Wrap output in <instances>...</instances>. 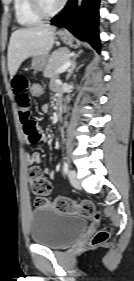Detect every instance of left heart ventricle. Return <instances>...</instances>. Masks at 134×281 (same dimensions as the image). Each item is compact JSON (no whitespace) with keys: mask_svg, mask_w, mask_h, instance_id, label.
<instances>
[{"mask_svg":"<svg viewBox=\"0 0 134 281\" xmlns=\"http://www.w3.org/2000/svg\"><path fill=\"white\" fill-rule=\"evenodd\" d=\"M60 0H43L45 6L48 8V9H52L54 8L58 3H59Z\"/></svg>","mask_w":134,"mask_h":281,"instance_id":"b2bd125f","label":"left heart ventricle"}]
</instances>
